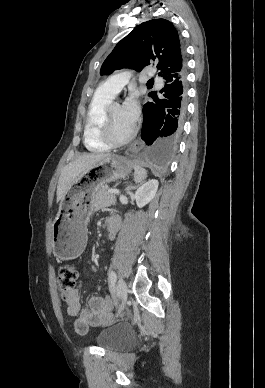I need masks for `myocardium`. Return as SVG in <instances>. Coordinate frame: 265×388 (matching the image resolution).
I'll return each instance as SVG.
<instances>
[{
    "label": "myocardium",
    "instance_id": "obj_1",
    "mask_svg": "<svg viewBox=\"0 0 265 388\" xmlns=\"http://www.w3.org/2000/svg\"><path fill=\"white\" fill-rule=\"evenodd\" d=\"M105 91H117V94L120 92L119 90H105ZM115 105H118V104L111 103L103 111L101 118H100L98 131H99L100 138L104 142H106L110 145L120 146V145L126 144L127 142L132 140L135 137L137 130L135 127L132 126L130 131L122 136H117L111 131L110 126H109V115H110V113Z\"/></svg>",
    "mask_w": 265,
    "mask_h": 388
}]
</instances>
